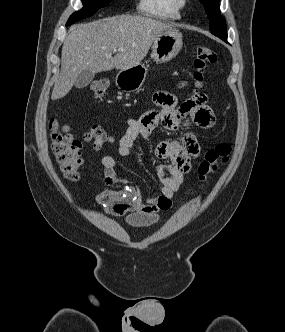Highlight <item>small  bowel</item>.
I'll use <instances>...</instances> for the list:
<instances>
[{
    "label": "small bowel",
    "instance_id": "obj_1",
    "mask_svg": "<svg viewBox=\"0 0 285 332\" xmlns=\"http://www.w3.org/2000/svg\"><path fill=\"white\" fill-rule=\"evenodd\" d=\"M152 111L138 118L127 120L124 135L119 140L118 153L129 156L131 148L138 138L147 139L156 126L165 130H176L189 120L201 128H211L215 124V115L206 103L204 95H196L180 105L178 96L164 91L155 93ZM159 159L169 160L156 168L159 181V195L143 198L139 189L130 181L117 175L116 160L110 155L102 158L104 168L103 181L106 189L94 196V201L103 210L113 216H125L128 223L136 226H149L158 221L160 213L167 211L172 199L184 182L190 170L191 161L200 154V145L194 134L187 133L181 141L161 142L155 151ZM118 184H124L122 190H115Z\"/></svg>",
    "mask_w": 285,
    "mask_h": 332
}]
</instances>
